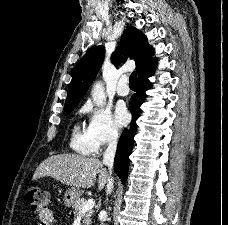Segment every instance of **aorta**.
<instances>
[{
	"mask_svg": "<svg viewBox=\"0 0 228 225\" xmlns=\"http://www.w3.org/2000/svg\"><path fill=\"white\" fill-rule=\"evenodd\" d=\"M92 98L95 104H102L103 100H105L106 98L105 88L101 80H98V82H95L92 88Z\"/></svg>",
	"mask_w": 228,
	"mask_h": 225,
	"instance_id": "762f6f07",
	"label": "aorta"
}]
</instances>
